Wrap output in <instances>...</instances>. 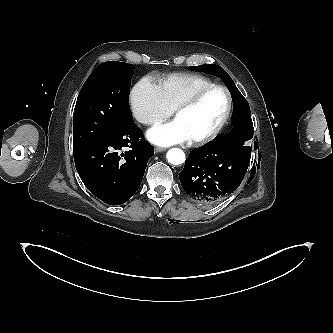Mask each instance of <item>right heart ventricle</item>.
<instances>
[{
    "label": "right heart ventricle",
    "instance_id": "obj_1",
    "mask_svg": "<svg viewBox=\"0 0 333 333\" xmlns=\"http://www.w3.org/2000/svg\"><path fill=\"white\" fill-rule=\"evenodd\" d=\"M211 84L214 82L210 78L200 74L175 73L160 80L158 86L165 102L174 111L199 89Z\"/></svg>",
    "mask_w": 333,
    "mask_h": 333
}]
</instances>
